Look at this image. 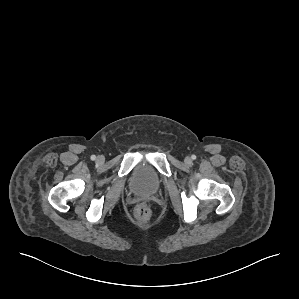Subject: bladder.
I'll use <instances>...</instances> for the list:
<instances>
[{
    "label": "bladder",
    "mask_w": 299,
    "mask_h": 299,
    "mask_svg": "<svg viewBox=\"0 0 299 299\" xmlns=\"http://www.w3.org/2000/svg\"><path fill=\"white\" fill-rule=\"evenodd\" d=\"M162 184L158 171L149 163L138 164L132 171L129 185L133 193L149 195L156 193Z\"/></svg>",
    "instance_id": "31cf9c89"
}]
</instances>
